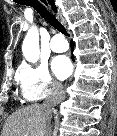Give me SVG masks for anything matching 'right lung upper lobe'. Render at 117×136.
<instances>
[{
    "instance_id": "right-lung-upper-lobe-1",
    "label": "right lung upper lobe",
    "mask_w": 117,
    "mask_h": 136,
    "mask_svg": "<svg viewBox=\"0 0 117 136\" xmlns=\"http://www.w3.org/2000/svg\"><path fill=\"white\" fill-rule=\"evenodd\" d=\"M49 2H50V4H51L53 10H54L55 12H57V8H56V6H55V4H54V0H49Z\"/></svg>"
}]
</instances>
